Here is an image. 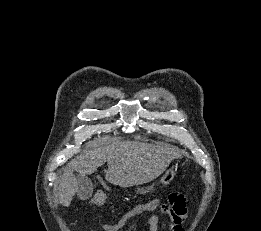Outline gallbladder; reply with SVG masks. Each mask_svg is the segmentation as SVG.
I'll use <instances>...</instances> for the list:
<instances>
[{"label":"gallbladder","instance_id":"bac80fb5","mask_svg":"<svg viewBox=\"0 0 261 231\" xmlns=\"http://www.w3.org/2000/svg\"><path fill=\"white\" fill-rule=\"evenodd\" d=\"M79 189H78V197L80 199H85L92 194L93 184L89 177L79 175L77 177Z\"/></svg>","mask_w":261,"mask_h":231}]
</instances>
